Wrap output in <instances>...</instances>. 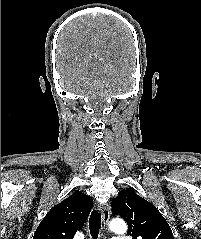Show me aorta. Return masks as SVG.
<instances>
[{
    "label": "aorta",
    "mask_w": 201,
    "mask_h": 239,
    "mask_svg": "<svg viewBox=\"0 0 201 239\" xmlns=\"http://www.w3.org/2000/svg\"><path fill=\"white\" fill-rule=\"evenodd\" d=\"M109 230L117 234H124L127 231V225L123 219L115 218L110 222Z\"/></svg>",
    "instance_id": "obj_1"
}]
</instances>
